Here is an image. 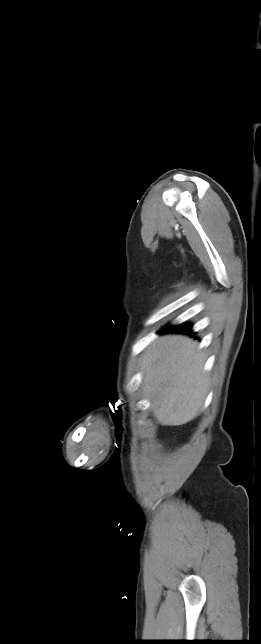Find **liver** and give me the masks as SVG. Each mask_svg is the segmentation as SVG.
<instances>
[{
    "mask_svg": "<svg viewBox=\"0 0 261 644\" xmlns=\"http://www.w3.org/2000/svg\"><path fill=\"white\" fill-rule=\"evenodd\" d=\"M204 364L197 342L186 336H162L145 350L142 388L161 425H183L199 414L209 387Z\"/></svg>",
    "mask_w": 261,
    "mask_h": 644,
    "instance_id": "6515ba94",
    "label": "liver"
}]
</instances>
